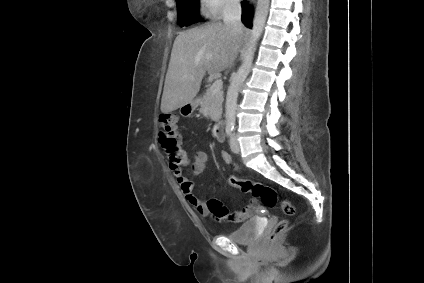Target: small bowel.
Masks as SVG:
<instances>
[{"label": "small bowel", "instance_id": "c3829d8e", "mask_svg": "<svg viewBox=\"0 0 424 283\" xmlns=\"http://www.w3.org/2000/svg\"><path fill=\"white\" fill-rule=\"evenodd\" d=\"M224 140V136L220 142ZM221 158L224 163L228 165H232L235 169L237 166L233 163L232 157L227 152L221 153ZM207 154L203 151H198L195 153L193 161L190 164V174L191 177H188L184 174L183 169L180 167L178 169H172L174 178L179 186L181 193L183 194L186 201L196 209V211L203 216L209 214V210L207 204L199 200L194 193V182L193 178L199 176L205 169L207 163ZM189 162L187 158V163ZM245 214L235 213L234 220H242L244 219Z\"/></svg>", "mask_w": 424, "mask_h": 283}]
</instances>
